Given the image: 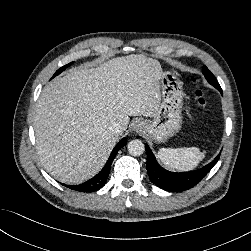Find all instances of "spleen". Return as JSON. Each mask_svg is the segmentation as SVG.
<instances>
[{"label": "spleen", "instance_id": "3e777b00", "mask_svg": "<svg viewBox=\"0 0 251 251\" xmlns=\"http://www.w3.org/2000/svg\"><path fill=\"white\" fill-rule=\"evenodd\" d=\"M157 157L168 168L178 171L194 169L205 157V152L199 148H160Z\"/></svg>", "mask_w": 251, "mask_h": 251}]
</instances>
